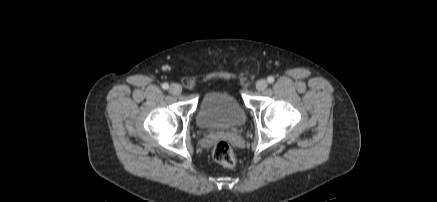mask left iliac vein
<instances>
[{
  "mask_svg": "<svg viewBox=\"0 0 437 202\" xmlns=\"http://www.w3.org/2000/svg\"><path fill=\"white\" fill-rule=\"evenodd\" d=\"M267 86H268V83L264 79H261V80L257 81V83H256V89L258 91H264L267 88Z\"/></svg>",
  "mask_w": 437,
  "mask_h": 202,
  "instance_id": "4c4485c4",
  "label": "left iliac vein"
}]
</instances>
